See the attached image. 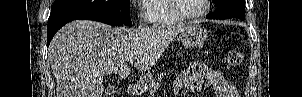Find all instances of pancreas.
I'll return each instance as SVG.
<instances>
[{"label":"pancreas","mask_w":302,"mask_h":97,"mask_svg":"<svg viewBox=\"0 0 302 97\" xmlns=\"http://www.w3.org/2000/svg\"><path fill=\"white\" fill-rule=\"evenodd\" d=\"M163 73H160L159 75H158V80L157 81H155V80H153L152 81V83L150 84V86L147 88V92L149 93V94H152V93H154L157 89H159V87H160V82H161V80L163 79Z\"/></svg>","instance_id":"obj_1"}]
</instances>
